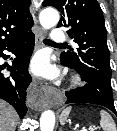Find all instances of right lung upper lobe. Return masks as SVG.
Returning <instances> with one entry per match:
<instances>
[{"mask_svg": "<svg viewBox=\"0 0 117 131\" xmlns=\"http://www.w3.org/2000/svg\"><path fill=\"white\" fill-rule=\"evenodd\" d=\"M30 0H0V47L31 32Z\"/></svg>", "mask_w": 117, "mask_h": 131, "instance_id": "1", "label": "right lung upper lobe"}]
</instances>
